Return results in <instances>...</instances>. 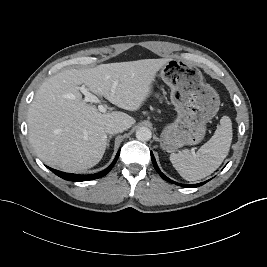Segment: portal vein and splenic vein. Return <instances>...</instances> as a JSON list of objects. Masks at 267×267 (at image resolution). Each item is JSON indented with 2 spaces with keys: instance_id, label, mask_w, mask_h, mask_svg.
I'll list each match as a JSON object with an SVG mask.
<instances>
[{
  "instance_id": "portal-vein-and-splenic-vein-1",
  "label": "portal vein and splenic vein",
  "mask_w": 267,
  "mask_h": 267,
  "mask_svg": "<svg viewBox=\"0 0 267 267\" xmlns=\"http://www.w3.org/2000/svg\"><path fill=\"white\" fill-rule=\"evenodd\" d=\"M117 83L114 84V86L112 87V94L115 92V87H116ZM80 91L83 93V95L85 96V98L83 99V102H91V103H97L98 105V109L100 112L105 113L106 112V106L92 93H90L84 86L80 87Z\"/></svg>"
}]
</instances>
